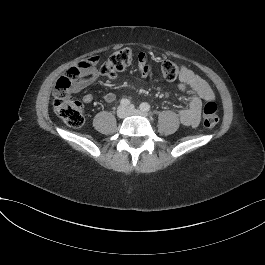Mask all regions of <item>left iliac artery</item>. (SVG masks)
<instances>
[{
  "mask_svg": "<svg viewBox=\"0 0 265 265\" xmlns=\"http://www.w3.org/2000/svg\"><path fill=\"white\" fill-rule=\"evenodd\" d=\"M139 107H140V110L145 111V112L150 111L151 109L150 105L146 102L141 103Z\"/></svg>",
  "mask_w": 265,
  "mask_h": 265,
  "instance_id": "44dca946",
  "label": "left iliac artery"
}]
</instances>
